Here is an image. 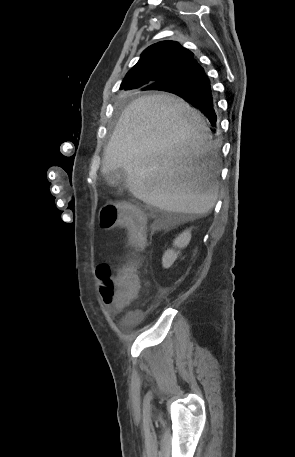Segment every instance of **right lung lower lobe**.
Returning a JSON list of instances; mask_svg holds the SVG:
<instances>
[{
  "mask_svg": "<svg viewBox=\"0 0 295 457\" xmlns=\"http://www.w3.org/2000/svg\"><path fill=\"white\" fill-rule=\"evenodd\" d=\"M144 90H174V94L197 107L212 125H216L211 86L204 69L196 60L187 64L174 80L161 82Z\"/></svg>",
  "mask_w": 295,
  "mask_h": 457,
  "instance_id": "98d812e1",
  "label": "right lung lower lobe"
}]
</instances>
